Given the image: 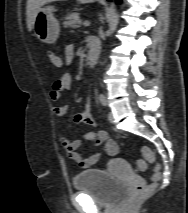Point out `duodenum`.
<instances>
[{
    "label": "duodenum",
    "instance_id": "obj_1",
    "mask_svg": "<svg viewBox=\"0 0 188 213\" xmlns=\"http://www.w3.org/2000/svg\"><path fill=\"white\" fill-rule=\"evenodd\" d=\"M89 52L87 56V64L94 66L100 54V42L98 39L90 37L88 39Z\"/></svg>",
    "mask_w": 188,
    "mask_h": 213
}]
</instances>
